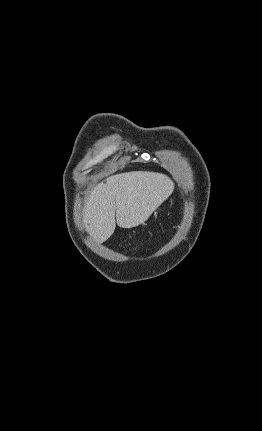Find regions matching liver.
Instances as JSON below:
<instances>
[{"label": "liver", "mask_w": 262, "mask_h": 431, "mask_svg": "<svg viewBox=\"0 0 262 431\" xmlns=\"http://www.w3.org/2000/svg\"><path fill=\"white\" fill-rule=\"evenodd\" d=\"M173 190V181L160 173L132 171L111 176L106 183H99L85 202L86 230L103 243L114 233L116 222L129 229L147 221Z\"/></svg>", "instance_id": "obj_1"}]
</instances>
